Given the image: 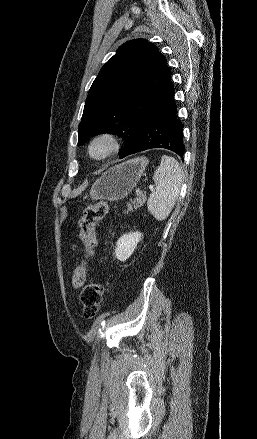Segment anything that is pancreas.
Returning a JSON list of instances; mask_svg holds the SVG:
<instances>
[{
    "label": "pancreas",
    "mask_w": 257,
    "mask_h": 439,
    "mask_svg": "<svg viewBox=\"0 0 257 439\" xmlns=\"http://www.w3.org/2000/svg\"><path fill=\"white\" fill-rule=\"evenodd\" d=\"M145 202H146V196L142 193H138L134 201H131V203L127 205L128 209L124 211V213L131 212L133 210V206L135 209L141 207Z\"/></svg>",
    "instance_id": "1"
}]
</instances>
